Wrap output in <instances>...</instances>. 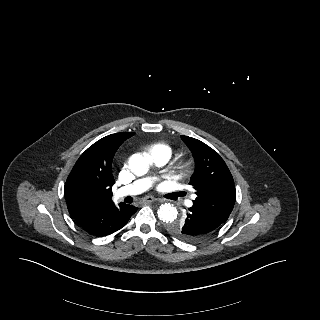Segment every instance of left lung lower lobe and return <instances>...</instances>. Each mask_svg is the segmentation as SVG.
<instances>
[{
    "label": "left lung lower lobe",
    "mask_w": 320,
    "mask_h": 320,
    "mask_svg": "<svg viewBox=\"0 0 320 320\" xmlns=\"http://www.w3.org/2000/svg\"><path fill=\"white\" fill-rule=\"evenodd\" d=\"M223 223L211 215L192 206L183 218L184 231L194 239L202 240L213 234Z\"/></svg>",
    "instance_id": "0a47b994"
}]
</instances>
